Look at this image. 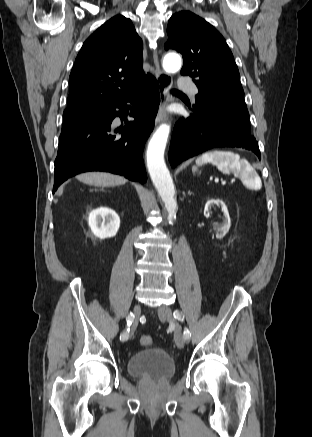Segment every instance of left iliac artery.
Instances as JSON below:
<instances>
[{
  "instance_id": "left-iliac-artery-1",
  "label": "left iliac artery",
  "mask_w": 312,
  "mask_h": 437,
  "mask_svg": "<svg viewBox=\"0 0 312 437\" xmlns=\"http://www.w3.org/2000/svg\"><path fill=\"white\" fill-rule=\"evenodd\" d=\"M174 317L178 320H183V315L181 312H179L178 310H175L173 313ZM191 334L189 332V330L187 328H185L184 333H183V337L185 340H188L190 338Z\"/></svg>"
}]
</instances>
